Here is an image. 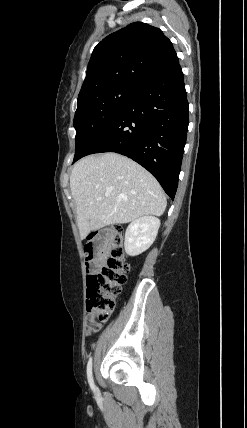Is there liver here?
I'll return each instance as SVG.
<instances>
[{"label": "liver", "instance_id": "obj_1", "mask_svg": "<svg viewBox=\"0 0 247 428\" xmlns=\"http://www.w3.org/2000/svg\"><path fill=\"white\" fill-rule=\"evenodd\" d=\"M70 188L82 239L107 225L129 223L145 215L161 216L167 205L157 180L117 153L78 161L70 176Z\"/></svg>", "mask_w": 247, "mask_h": 428}]
</instances>
